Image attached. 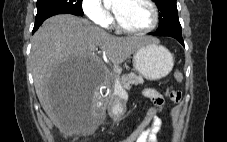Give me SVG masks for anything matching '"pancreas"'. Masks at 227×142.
<instances>
[{"instance_id":"pancreas-1","label":"pancreas","mask_w":227,"mask_h":142,"mask_svg":"<svg viewBox=\"0 0 227 142\" xmlns=\"http://www.w3.org/2000/svg\"><path fill=\"white\" fill-rule=\"evenodd\" d=\"M116 80L120 82L125 90H130L132 85H139L144 83L143 76L133 72L124 74L121 77L116 76Z\"/></svg>"}]
</instances>
